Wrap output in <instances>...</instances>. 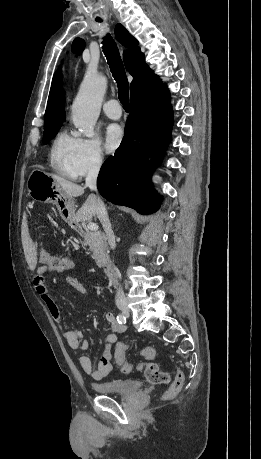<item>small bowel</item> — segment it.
<instances>
[{
    "label": "small bowel",
    "instance_id": "obj_1",
    "mask_svg": "<svg viewBox=\"0 0 261 459\" xmlns=\"http://www.w3.org/2000/svg\"><path fill=\"white\" fill-rule=\"evenodd\" d=\"M48 276L49 270L47 267H40L34 280V287L37 294L40 296L41 300L48 308L53 319L61 324L62 319L60 309L46 283ZM65 281L78 292L82 294L87 293V288L75 277L67 276L65 277ZM105 320L108 324L109 332L106 335V346L104 354L98 363V367L96 369L93 368L92 362L87 356L83 355L79 357V365L81 369L86 374L90 375V377L94 380H101L112 372L113 364L111 361V346L117 342L119 334L125 330V327L117 321V317H115L114 314L106 313ZM64 337L68 346L74 350H87L89 347L88 341L84 338L83 333L79 330L65 331ZM115 358L118 362V357L116 354Z\"/></svg>",
    "mask_w": 261,
    "mask_h": 459
}]
</instances>
